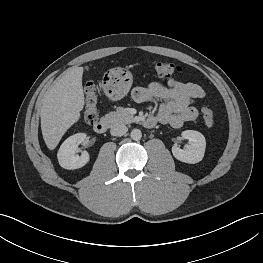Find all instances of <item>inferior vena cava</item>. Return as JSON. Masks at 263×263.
<instances>
[{
	"instance_id": "obj_1",
	"label": "inferior vena cava",
	"mask_w": 263,
	"mask_h": 263,
	"mask_svg": "<svg viewBox=\"0 0 263 263\" xmlns=\"http://www.w3.org/2000/svg\"><path fill=\"white\" fill-rule=\"evenodd\" d=\"M128 131L127 126H125L124 124H116L114 125L111 130L110 133L113 136H122L124 135L126 132Z\"/></svg>"
}]
</instances>
